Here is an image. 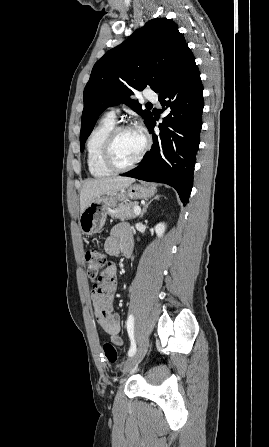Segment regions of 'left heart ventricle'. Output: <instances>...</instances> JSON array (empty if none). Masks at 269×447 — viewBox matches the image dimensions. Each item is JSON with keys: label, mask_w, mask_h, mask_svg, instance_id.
Returning <instances> with one entry per match:
<instances>
[{"label": "left heart ventricle", "mask_w": 269, "mask_h": 447, "mask_svg": "<svg viewBox=\"0 0 269 447\" xmlns=\"http://www.w3.org/2000/svg\"><path fill=\"white\" fill-rule=\"evenodd\" d=\"M146 139L142 130L132 127L118 134L114 143V156L121 165L132 163L145 147Z\"/></svg>", "instance_id": "b2bd125f"}]
</instances>
